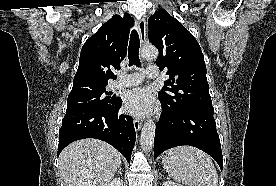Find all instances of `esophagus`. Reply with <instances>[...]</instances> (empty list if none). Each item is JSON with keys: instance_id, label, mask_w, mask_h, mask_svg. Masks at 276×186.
<instances>
[{"instance_id": "34e87169", "label": "esophagus", "mask_w": 276, "mask_h": 186, "mask_svg": "<svg viewBox=\"0 0 276 186\" xmlns=\"http://www.w3.org/2000/svg\"><path fill=\"white\" fill-rule=\"evenodd\" d=\"M138 32L141 43H144L146 41V22L144 18H141L138 21ZM134 128L136 131H139L142 126V120L135 118L133 120Z\"/></svg>"}]
</instances>
